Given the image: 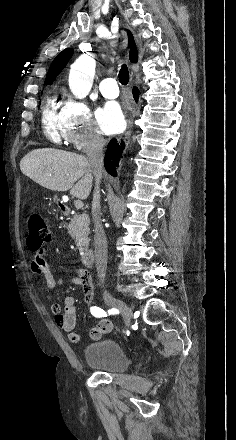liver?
Instances as JSON below:
<instances>
[{
  "instance_id": "1",
  "label": "liver",
  "mask_w": 236,
  "mask_h": 440,
  "mask_svg": "<svg viewBox=\"0 0 236 440\" xmlns=\"http://www.w3.org/2000/svg\"><path fill=\"white\" fill-rule=\"evenodd\" d=\"M24 175L52 191H67L80 199L89 196L93 175L88 159L53 148L35 149L20 161Z\"/></svg>"
}]
</instances>
